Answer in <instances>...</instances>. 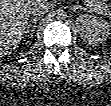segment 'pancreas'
<instances>
[{"label":"pancreas","instance_id":"cf45deb5","mask_svg":"<svg viewBox=\"0 0 111 106\" xmlns=\"http://www.w3.org/2000/svg\"><path fill=\"white\" fill-rule=\"evenodd\" d=\"M84 4L86 6V9L90 12H95L100 15H108L110 13L109 6L105 0H85Z\"/></svg>","mask_w":111,"mask_h":106}]
</instances>
